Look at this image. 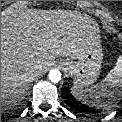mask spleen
<instances>
[{
  "instance_id": "spleen-1",
  "label": "spleen",
  "mask_w": 122,
  "mask_h": 122,
  "mask_svg": "<svg viewBox=\"0 0 122 122\" xmlns=\"http://www.w3.org/2000/svg\"><path fill=\"white\" fill-rule=\"evenodd\" d=\"M120 87H122V55L119 56L115 67L108 73L100 85L86 88L85 90L73 86L71 93L77 100L84 104L102 109L109 106V102H102V98L116 97L119 92L118 88Z\"/></svg>"
}]
</instances>
